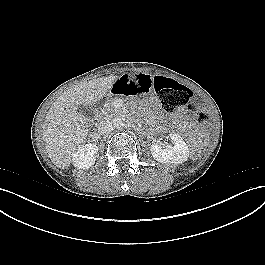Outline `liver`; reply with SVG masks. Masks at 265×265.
<instances>
[{"instance_id": "obj_1", "label": "liver", "mask_w": 265, "mask_h": 265, "mask_svg": "<svg viewBox=\"0 0 265 265\" xmlns=\"http://www.w3.org/2000/svg\"><path fill=\"white\" fill-rule=\"evenodd\" d=\"M117 76H107L80 82L52 104L43 124V140L51 161L61 169L72 163L73 155L89 133L88 119L79 106L88 107L102 99Z\"/></svg>"}]
</instances>
